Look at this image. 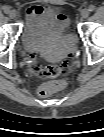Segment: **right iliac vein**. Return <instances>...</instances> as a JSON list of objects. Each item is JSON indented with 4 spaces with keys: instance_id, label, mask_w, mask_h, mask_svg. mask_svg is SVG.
I'll use <instances>...</instances> for the list:
<instances>
[{
    "instance_id": "63e3f726",
    "label": "right iliac vein",
    "mask_w": 104,
    "mask_h": 137,
    "mask_svg": "<svg viewBox=\"0 0 104 137\" xmlns=\"http://www.w3.org/2000/svg\"><path fill=\"white\" fill-rule=\"evenodd\" d=\"M8 15L11 19H15L17 17V12L15 10H10Z\"/></svg>"
}]
</instances>
